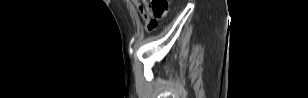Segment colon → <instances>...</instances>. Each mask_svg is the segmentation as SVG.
Here are the masks:
<instances>
[{
	"mask_svg": "<svg viewBox=\"0 0 308 98\" xmlns=\"http://www.w3.org/2000/svg\"><path fill=\"white\" fill-rule=\"evenodd\" d=\"M140 4V9L147 20L148 29L153 30L158 20L164 18L168 12V0H136Z\"/></svg>",
	"mask_w": 308,
	"mask_h": 98,
	"instance_id": "1",
	"label": "colon"
}]
</instances>
